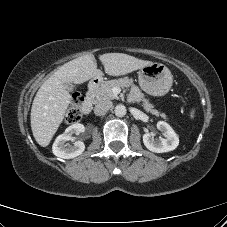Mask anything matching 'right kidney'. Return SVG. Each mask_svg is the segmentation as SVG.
<instances>
[{"label":"right kidney","instance_id":"right-kidney-1","mask_svg":"<svg viewBox=\"0 0 227 227\" xmlns=\"http://www.w3.org/2000/svg\"><path fill=\"white\" fill-rule=\"evenodd\" d=\"M84 131L85 127L79 123L66 128V130L56 138L52 146L53 154L63 159H71L81 155L85 150V145L82 141H75L73 145L67 142L75 140L73 134L79 135Z\"/></svg>","mask_w":227,"mask_h":227}]
</instances>
